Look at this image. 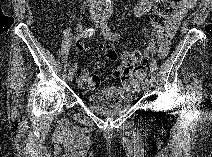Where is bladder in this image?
Masks as SVG:
<instances>
[{
    "mask_svg": "<svg viewBox=\"0 0 212 157\" xmlns=\"http://www.w3.org/2000/svg\"><path fill=\"white\" fill-rule=\"evenodd\" d=\"M135 93L116 86H107L97 92L90 93L86 105L100 114H117L131 107Z\"/></svg>",
    "mask_w": 212,
    "mask_h": 157,
    "instance_id": "bladder-1",
    "label": "bladder"
}]
</instances>
